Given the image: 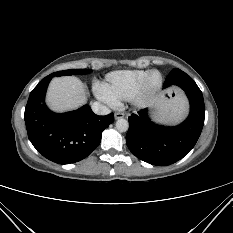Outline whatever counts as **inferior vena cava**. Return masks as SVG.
Wrapping results in <instances>:
<instances>
[{
    "label": "inferior vena cava",
    "instance_id": "obj_1",
    "mask_svg": "<svg viewBox=\"0 0 233 233\" xmlns=\"http://www.w3.org/2000/svg\"><path fill=\"white\" fill-rule=\"evenodd\" d=\"M91 108L92 111L97 115H108L110 113V109L99 102H94Z\"/></svg>",
    "mask_w": 233,
    "mask_h": 233
}]
</instances>
